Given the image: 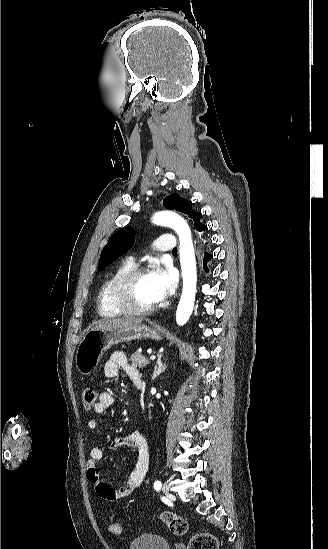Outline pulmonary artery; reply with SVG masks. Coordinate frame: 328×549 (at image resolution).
<instances>
[{
	"instance_id": "1",
	"label": "pulmonary artery",
	"mask_w": 328,
	"mask_h": 549,
	"mask_svg": "<svg viewBox=\"0 0 328 549\" xmlns=\"http://www.w3.org/2000/svg\"><path fill=\"white\" fill-rule=\"evenodd\" d=\"M177 244L174 237H162L161 241H153L150 243L149 248L153 252H170Z\"/></svg>"
}]
</instances>
